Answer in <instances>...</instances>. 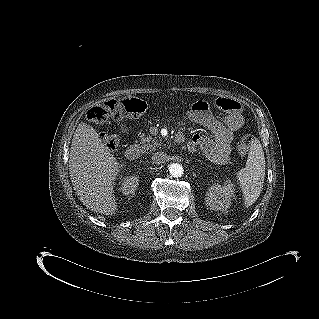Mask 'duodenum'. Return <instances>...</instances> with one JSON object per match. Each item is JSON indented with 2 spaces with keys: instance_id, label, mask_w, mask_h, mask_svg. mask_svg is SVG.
<instances>
[{
  "instance_id": "obj_1",
  "label": "duodenum",
  "mask_w": 319,
  "mask_h": 319,
  "mask_svg": "<svg viewBox=\"0 0 319 319\" xmlns=\"http://www.w3.org/2000/svg\"><path fill=\"white\" fill-rule=\"evenodd\" d=\"M184 139V136L182 133H178L177 136H176V140L178 142H182ZM140 148L138 145H131L127 151H126V157L128 159H131V160H135V159H138L140 157Z\"/></svg>"
}]
</instances>
